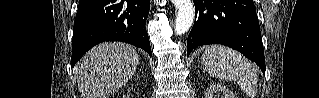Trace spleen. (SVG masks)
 <instances>
[{
  "label": "spleen",
  "mask_w": 319,
  "mask_h": 98,
  "mask_svg": "<svg viewBox=\"0 0 319 98\" xmlns=\"http://www.w3.org/2000/svg\"><path fill=\"white\" fill-rule=\"evenodd\" d=\"M205 70L213 77L236 82L251 98L257 92V69L237 51L225 46H209L202 55Z\"/></svg>",
  "instance_id": "obj_1"
}]
</instances>
